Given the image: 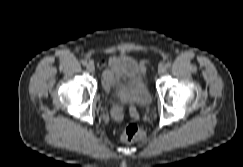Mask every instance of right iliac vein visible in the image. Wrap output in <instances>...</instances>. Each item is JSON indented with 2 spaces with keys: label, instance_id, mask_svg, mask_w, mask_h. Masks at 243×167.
<instances>
[{
  "label": "right iliac vein",
  "instance_id": "right-iliac-vein-1",
  "mask_svg": "<svg viewBox=\"0 0 243 167\" xmlns=\"http://www.w3.org/2000/svg\"><path fill=\"white\" fill-rule=\"evenodd\" d=\"M87 70L90 72V73H93L95 71V67L92 65V64H88L87 65Z\"/></svg>",
  "mask_w": 243,
  "mask_h": 167
}]
</instances>
